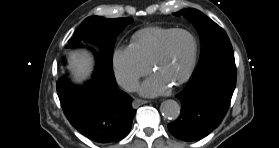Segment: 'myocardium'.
I'll use <instances>...</instances> for the list:
<instances>
[{
    "label": "myocardium",
    "mask_w": 279,
    "mask_h": 148,
    "mask_svg": "<svg viewBox=\"0 0 279 148\" xmlns=\"http://www.w3.org/2000/svg\"><path fill=\"white\" fill-rule=\"evenodd\" d=\"M179 33H185L188 34L193 42V48H192V53H191V57L189 60V63L187 65V67L185 68V70L183 71V73L180 75V77L173 83L174 85L178 86L183 84L185 81H187V79L190 77V75L192 74L195 64H196V59H197V54H198V42L196 39V36L187 29H183V28H178V29H174L172 30L170 33H168L165 38L163 39L157 53L155 54L154 58L151 61L150 64V69L152 72H154L157 64L165 57L166 55V51H167V46L168 43L170 41V39Z\"/></svg>",
    "instance_id": "f54148a6"
}]
</instances>
